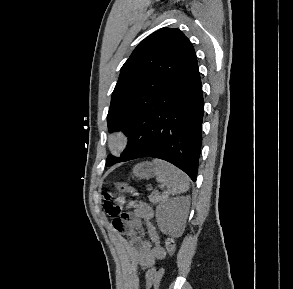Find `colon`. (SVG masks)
<instances>
[{
    "label": "colon",
    "mask_w": 293,
    "mask_h": 289,
    "mask_svg": "<svg viewBox=\"0 0 293 289\" xmlns=\"http://www.w3.org/2000/svg\"><path fill=\"white\" fill-rule=\"evenodd\" d=\"M115 187L120 192L128 193L132 196L138 195V192L133 187L129 186L127 183L117 182L115 184ZM104 210L113 219L123 216L120 205L117 202L112 201V196L110 194L106 195V200L104 202ZM117 227H119V225ZM165 246L168 254L173 257L176 251L175 242L173 238L167 237L165 240ZM162 276L163 270H159L156 273V275L152 278L151 286H154V288L157 289V287L160 284Z\"/></svg>",
    "instance_id": "obj_1"
}]
</instances>
